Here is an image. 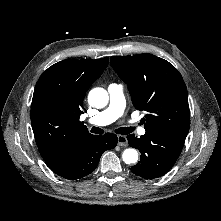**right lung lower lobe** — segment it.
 Wrapping results in <instances>:
<instances>
[{
	"label": "right lung lower lobe",
	"mask_w": 221,
	"mask_h": 221,
	"mask_svg": "<svg viewBox=\"0 0 221 221\" xmlns=\"http://www.w3.org/2000/svg\"><path fill=\"white\" fill-rule=\"evenodd\" d=\"M117 136L107 133L104 136L86 138L55 164L48 165L57 175L74 180L87 176L96 168L101 155L117 145Z\"/></svg>",
	"instance_id": "1"
}]
</instances>
